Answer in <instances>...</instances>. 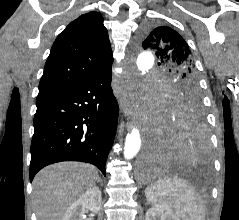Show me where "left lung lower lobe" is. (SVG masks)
Here are the masks:
<instances>
[{"mask_svg":"<svg viewBox=\"0 0 239 220\" xmlns=\"http://www.w3.org/2000/svg\"><path fill=\"white\" fill-rule=\"evenodd\" d=\"M208 150L203 111L162 109L142 156L140 170L154 174L166 171L172 165L197 163L206 158Z\"/></svg>","mask_w":239,"mask_h":220,"instance_id":"obj_1","label":"left lung lower lobe"}]
</instances>
